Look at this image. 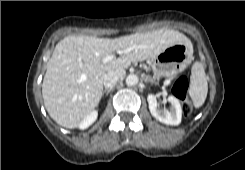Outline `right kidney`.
I'll return each mask as SVG.
<instances>
[{"label":"right kidney","mask_w":245,"mask_h":170,"mask_svg":"<svg viewBox=\"0 0 245 170\" xmlns=\"http://www.w3.org/2000/svg\"><path fill=\"white\" fill-rule=\"evenodd\" d=\"M98 113L97 111H92L90 112L79 124V129H86L88 128L90 125H92L96 119H97Z\"/></svg>","instance_id":"ca27d5eb"}]
</instances>
